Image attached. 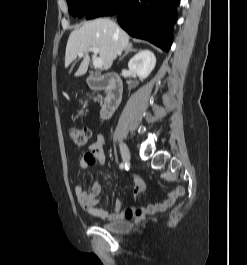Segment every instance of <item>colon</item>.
I'll use <instances>...</instances> for the list:
<instances>
[{
  "mask_svg": "<svg viewBox=\"0 0 247 265\" xmlns=\"http://www.w3.org/2000/svg\"><path fill=\"white\" fill-rule=\"evenodd\" d=\"M71 141L79 149L85 148L91 138V131L88 127H72L69 130Z\"/></svg>",
  "mask_w": 247,
  "mask_h": 265,
  "instance_id": "colon-1",
  "label": "colon"
}]
</instances>
